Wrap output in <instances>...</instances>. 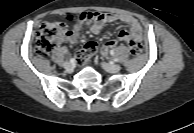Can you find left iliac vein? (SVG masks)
Listing matches in <instances>:
<instances>
[{"label": "left iliac vein", "mask_w": 194, "mask_h": 133, "mask_svg": "<svg viewBox=\"0 0 194 133\" xmlns=\"http://www.w3.org/2000/svg\"><path fill=\"white\" fill-rule=\"evenodd\" d=\"M101 65L103 69L109 73H117L121 70V66L119 64L102 63Z\"/></svg>", "instance_id": "left-iliac-vein-1"}]
</instances>
